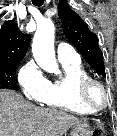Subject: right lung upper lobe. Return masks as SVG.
<instances>
[{"label": "right lung upper lobe", "mask_w": 117, "mask_h": 136, "mask_svg": "<svg viewBox=\"0 0 117 136\" xmlns=\"http://www.w3.org/2000/svg\"><path fill=\"white\" fill-rule=\"evenodd\" d=\"M30 35L23 34L14 20L7 21L0 30V64L19 63L25 56Z\"/></svg>", "instance_id": "right-lung-upper-lobe-1"}]
</instances>
